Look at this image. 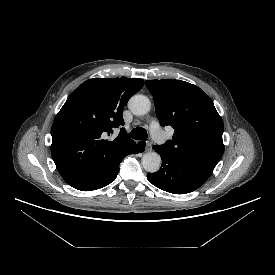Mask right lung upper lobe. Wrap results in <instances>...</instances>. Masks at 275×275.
I'll return each mask as SVG.
<instances>
[{
	"label": "right lung upper lobe",
	"mask_w": 275,
	"mask_h": 275,
	"mask_svg": "<svg viewBox=\"0 0 275 275\" xmlns=\"http://www.w3.org/2000/svg\"><path fill=\"white\" fill-rule=\"evenodd\" d=\"M143 85L140 78H93L67 98L51 129L52 158L67 183L108 169L136 145L123 128L113 141L106 137L124 125L123 108Z\"/></svg>",
	"instance_id": "cb5924a9"
}]
</instances>
